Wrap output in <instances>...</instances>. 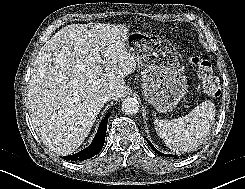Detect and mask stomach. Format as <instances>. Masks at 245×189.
Masks as SVG:
<instances>
[{
  "label": "stomach",
  "instance_id": "0dacf381",
  "mask_svg": "<svg viewBox=\"0 0 245 189\" xmlns=\"http://www.w3.org/2000/svg\"><path fill=\"white\" fill-rule=\"evenodd\" d=\"M125 48L135 57L145 100L159 113L171 112L188 89L177 49L165 39L139 31L127 35Z\"/></svg>",
  "mask_w": 245,
  "mask_h": 189
}]
</instances>
